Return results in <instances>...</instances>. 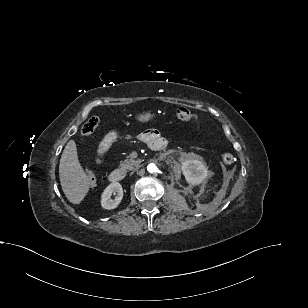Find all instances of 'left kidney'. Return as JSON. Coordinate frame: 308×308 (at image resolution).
I'll return each instance as SVG.
<instances>
[{"label":"left kidney","instance_id":"left-kidney-1","mask_svg":"<svg viewBox=\"0 0 308 308\" xmlns=\"http://www.w3.org/2000/svg\"><path fill=\"white\" fill-rule=\"evenodd\" d=\"M186 181L190 185L201 184L208 175L207 168L198 159H186L181 165Z\"/></svg>","mask_w":308,"mask_h":308}]
</instances>
